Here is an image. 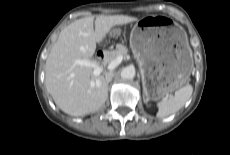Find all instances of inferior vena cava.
Masks as SVG:
<instances>
[{
  "label": "inferior vena cava",
  "instance_id": "1",
  "mask_svg": "<svg viewBox=\"0 0 230 155\" xmlns=\"http://www.w3.org/2000/svg\"><path fill=\"white\" fill-rule=\"evenodd\" d=\"M113 77V73L112 72H108L105 74V79L107 82H110L112 80Z\"/></svg>",
  "mask_w": 230,
  "mask_h": 155
}]
</instances>
